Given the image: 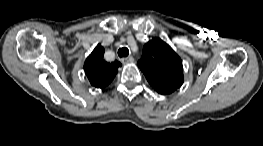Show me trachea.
<instances>
[{"mask_svg":"<svg viewBox=\"0 0 263 146\" xmlns=\"http://www.w3.org/2000/svg\"><path fill=\"white\" fill-rule=\"evenodd\" d=\"M129 55V50L126 47H122L118 50L119 57H127Z\"/></svg>","mask_w":263,"mask_h":146,"instance_id":"3493384b","label":"trachea"}]
</instances>
